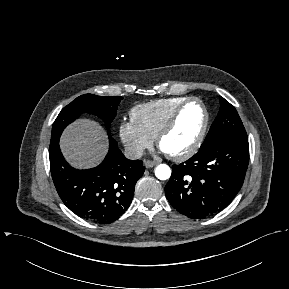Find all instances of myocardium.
Listing matches in <instances>:
<instances>
[{
  "instance_id": "1",
  "label": "myocardium",
  "mask_w": 289,
  "mask_h": 289,
  "mask_svg": "<svg viewBox=\"0 0 289 289\" xmlns=\"http://www.w3.org/2000/svg\"><path fill=\"white\" fill-rule=\"evenodd\" d=\"M192 102H197L204 113V121L201 127V130L196 138V140L192 143V145L187 148L186 150L180 152V153H173V154H169L167 153V155L176 161H183L186 160L190 157H192L201 147L207 131H208V127H209V122H210V114L209 111L205 105V103L197 97H188L186 98L182 103H180L177 108L173 111V113L170 115V117L168 118V120L166 121V123L163 125V127L160 129L159 133L156 136V143L158 145L159 148H161V143L163 141V139L173 130V128L175 127L178 118L181 114V112L183 111V109Z\"/></svg>"
}]
</instances>
